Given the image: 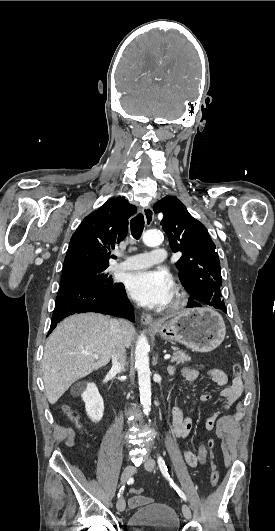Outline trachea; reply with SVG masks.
Returning <instances> with one entry per match:
<instances>
[{
  "instance_id": "obj_1",
  "label": "trachea",
  "mask_w": 275,
  "mask_h": 531,
  "mask_svg": "<svg viewBox=\"0 0 275 531\" xmlns=\"http://www.w3.org/2000/svg\"><path fill=\"white\" fill-rule=\"evenodd\" d=\"M144 224L145 222H144V217L142 214H138L137 216H135V218L131 219L130 229H131V234L133 238L139 239L141 237Z\"/></svg>"
}]
</instances>
